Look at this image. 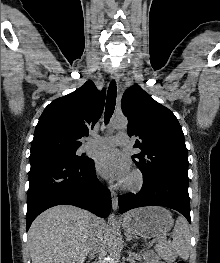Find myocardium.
Wrapping results in <instances>:
<instances>
[{"label":"myocardium","instance_id":"obj_1","mask_svg":"<svg viewBox=\"0 0 220 263\" xmlns=\"http://www.w3.org/2000/svg\"><path fill=\"white\" fill-rule=\"evenodd\" d=\"M144 184V177L141 171L133 170L126 181L121 185L125 192H137Z\"/></svg>","mask_w":220,"mask_h":263}]
</instances>
